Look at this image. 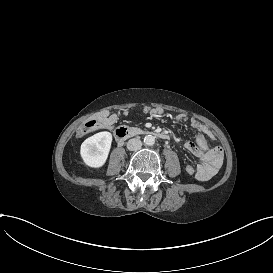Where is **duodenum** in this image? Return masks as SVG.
Segmentation results:
<instances>
[{
  "mask_svg": "<svg viewBox=\"0 0 273 273\" xmlns=\"http://www.w3.org/2000/svg\"><path fill=\"white\" fill-rule=\"evenodd\" d=\"M143 133H150L164 140L169 139L168 134L162 131L144 132L138 128H126L122 126L116 129L115 136L118 143H123L129 138Z\"/></svg>",
  "mask_w": 273,
  "mask_h": 273,
  "instance_id": "1",
  "label": "duodenum"
}]
</instances>
